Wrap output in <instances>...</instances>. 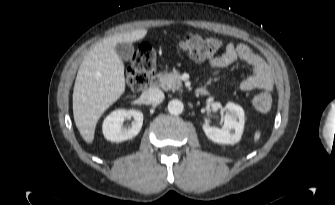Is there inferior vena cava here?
Instances as JSON below:
<instances>
[{"label":"inferior vena cava","mask_w":335,"mask_h":205,"mask_svg":"<svg viewBox=\"0 0 335 205\" xmlns=\"http://www.w3.org/2000/svg\"><path fill=\"white\" fill-rule=\"evenodd\" d=\"M143 98L149 104H159L164 100V93L155 87H151L143 92Z\"/></svg>","instance_id":"obj_1"}]
</instances>
